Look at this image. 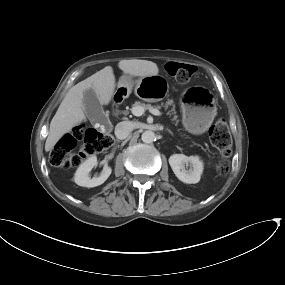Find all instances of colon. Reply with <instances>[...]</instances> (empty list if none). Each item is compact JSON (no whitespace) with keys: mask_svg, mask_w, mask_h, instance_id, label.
<instances>
[{"mask_svg":"<svg viewBox=\"0 0 285 285\" xmlns=\"http://www.w3.org/2000/svg\"><path fill=\"white\" fill-rule=\"evenodd\" d=\"M166 70L176 80L186 82L191 79L195 67L190 64L170 61L166 65ZM209 138L211 144L223 156L218 165V174L225 175L229 168L228 158L232 147L227 123L224 120L214 123L209 129ZM110 143L111 137L108 134H100L79 125L59 140L50 154V163L54 167L65 169L77 167L82 162L83 156L99 152L108 147Z\"/></svg>","mask_w":285,"mask_h":285,"instance_id":"1","label":"colon"}]
</instances>
